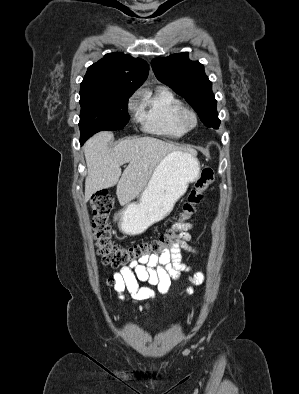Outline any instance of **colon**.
Wrapping results in <instances>:
<instances>
[{"mask_svg": "<svg viewBox=\"0 0 299 394\" xmlns=\"http://www.w3.org/2000/svg\"><path fill=\"white\" fill-rule=\"evenodd\" d=\"M213 181V169H202L182 205L177 217V224L189 223V220L197 214V208L204 200L205 191ZM113 207L114 199L106 191L97 192L91 200V209L94 214L92 226L95 246L102 262L106 265L112 267L127 266L146 257L160 256L172 249L182 235V230L173 225L149 241L124 246L115 245L111 239L109 225Z\"/></svg>", "mask_w": 299, "mask_h": 394, "instance_id": "1", "label": "colon"}]
</instances>
